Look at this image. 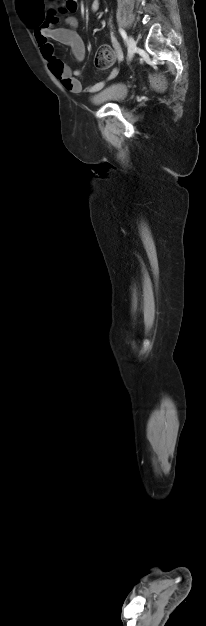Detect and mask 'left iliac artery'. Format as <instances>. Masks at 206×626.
I'll return each instance as SVG.
<instances>
[{"instance_id": "obj_1", "label": "left iliac artery", "mask_w": 206, "mask_h": 626, "mask_svg": "<svg viewBox=\"0 0 206 626\" xmlns=\"http://www.w3.org/2000/svg\"><path fill=\"white\" fill-rule=\"evenodd\" d=\"M119 32H120V34H121L122 38H123L124 40H126V38H127L126 32H125L123 29H119Z\"/></svg>"}]
</instances>
